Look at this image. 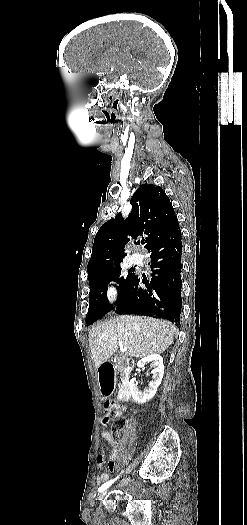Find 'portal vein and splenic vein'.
I'll use <instances>...</instances> for the list:
<instances>
[{"label": "portal vein and splenic vein", "mask_w": 247, "mask_h": 525, "mask_svg": "<svg viewBox=\"0 0 247 525\" xmlns=\"http://www.w3.org/2000/svg\"><path fill=\"white\" fill-rule=\"evenodd\" d=\"M124 351H127V347H123V345H120V353H124Z\"/></svg>", "instance_id": "18ae733b"}]
</instances>
